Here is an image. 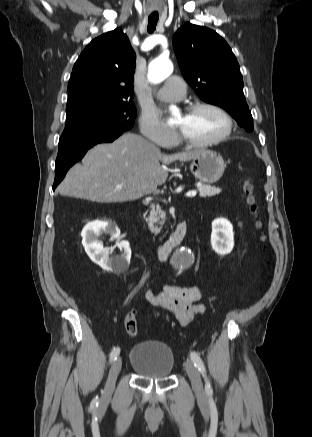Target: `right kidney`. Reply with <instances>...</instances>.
<instances>
[{"mask_svg":"<svg viewBox=\"0 0 312 437\" xmlns=\"http://www.w3.org/2000/svg\"><path fill=\"white\" fill-rule=\"evenodd\" d=\"M102 234H109L111 240L118 239L120 230L115 225H110L104 221H94L88 223L82 230V244L89 258L102 269L110 272H122L129 266L131 259V249L128 241L118 242V247L123 252L120 256L109 257V252L99 241Z\"/></svg>","mask_w":312,"mask_h":437,"instance_id":"obj_1","label":"right kidney"}]
</instances>
